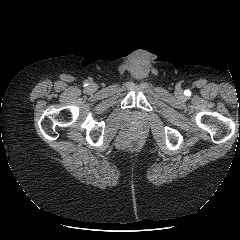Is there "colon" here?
Segmentation results:
<instances>
[{
  "label": "colon",
  "instance_id": "5ec220e1",
  "mask_svg": "<svg viewBox=\"0 0 240 240\" xmlns=\"http://www.w3.org/2000/svg\"><path fill=\"white\" fill-rule=\"evenodd\" d=\"M137 142V139L135 137H131L128 140L125 141L126 146H132L135 145Z\"/></svg>",
  "mask_w": 240,
  "mask_h": 240
}]
</instances>
